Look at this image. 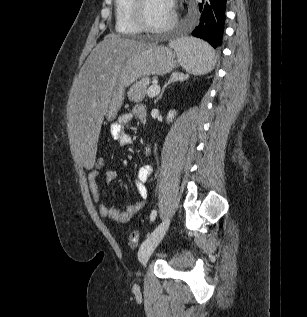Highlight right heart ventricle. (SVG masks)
Returning a JSON list of instances; mask_svg holds the SVG:
<instances>
[{"instance_id": "obj_1", "label": "right heart ventricle", "mask_w": 307, "mask_h": 317, "mask_svg": "<svg viewBox=\"0 0 307 317\" xmlns=\"http://www.w3.org/2000/svg\"><path fill=\"white\" fill-rule=\"evenodd\" d=\"M131 0H114L115 29L121 35L139 33V29L132 20Z\"/></svg>"}]
</instances>
